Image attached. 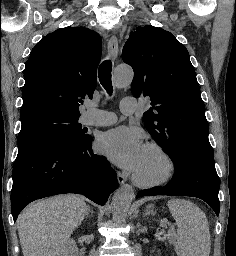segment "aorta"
Returning a JSON list of instances; mask_svg holds the SVG:
<instances>
[{
  "instance_id": "762f6f07",
  "label": "aorta",
  "mask_w": 236,
  "mask_h": 256,
  "mask_svg": "<svg viewBox=\"0 0 236 256\" xmlns=\"http://www.w3.org/2000/svg\"><path fill=\"white\" fill-rule=\"evenodd\" d=\"M133 80V70L126 65L118 66L114 74V86L123 88L129 85ZM135 198L133 188L125 184L119 188L112 199V216L116 222H124L126 220L132 200Z\"/></svg>"
}]
</instances>
